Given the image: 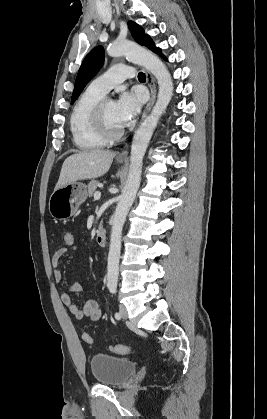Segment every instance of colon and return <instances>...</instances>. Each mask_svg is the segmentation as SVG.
<instances>
[{
    "label": "colon",
    "instance_id": "colon-1",
    "mask_svg": "<svg viewBox=\"0 0 267 419\" xmlns=\"http://www.w3.org/2000/svg\"><path fill=\"white\" fill-rule=\"evenodd\" d=\"M62 240L67 247L75 246L74 234L70 230H65L63 232ZM82 338L86 343H92V337L89 333H83ZM111 351L117 354H129L131 352V349L126 345H113L111 346Z\"/></svg>",
    "mask_w": 267,
    "mask_h": 419
}]
</instances>
